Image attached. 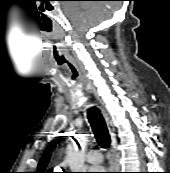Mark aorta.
<instances>
[{
	"instance_id": "1",
	"label": "aorta",
	"mask_w": 170,
	"mask_h": 173,
	"mask_svg": "<svg viewBox=\"0 0 170 173\" xmlns=\"http://www.w3.org/2000/svg\"><path fill=\"white\" fill-rule=\"evenodd\" d=\"M82 144L85 143L83 137L80 138ZM67 162L69 164L71 172H82L84 170L85 156L82 151H78L72 148L67 153Z\"/></svg>"
}]
</instances>
